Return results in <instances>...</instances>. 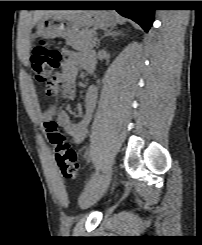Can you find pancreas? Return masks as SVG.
I'll return each instance as SVG.
<instances>
[{
	"mask_svg": "<svg viewBox=\"0 0 202 245\" xmlns=\"http://www.w3.org/2000/svg\"><path fill=\"white\" fill-rule=\"evenodd\" d=\"M95 34L94 30L84 29L67 39L66 43L76 50H88L95 46Z\"/></svg>",
	"mask_w": 202,
	"mask_h": 245,
	"instance_id": "cf45deb5",
	"label": "pancreas"
}]
</instances>
